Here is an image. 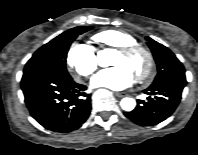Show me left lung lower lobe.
Listing matches in <instances>:
<instances>
[{
	"instance_id": "0a47b994",
	"label": "left lung lower lobe",
	"mask_w": 198,
	"mask_h": 155,
	"mask_svg": "<svg viewBox=\"0 0 198 155\" xmlns=\"http://www.w3.org/2000/svg\"><path fill=\"white\" fill-rule=\"evenodd\" d=\"M186 83L184 79H171L151 85L143 91L149 95L147 101L138 100L137 107L124 113L125 116L141 126L156 125L164 121L177 108Z\"/></svg>"
}]
</instances>
